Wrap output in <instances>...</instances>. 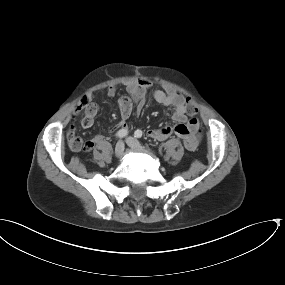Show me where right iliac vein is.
<instances>
[{
  "label": "right iliac vein",
  "instance_id": "obj_1",
  "mask_svg": "<svg viewBox=\"0 0 285 285\" xmlns=\"http://www.w3.org/2000/svg\"><path fill=\"white\" fill-rule=\"evenodd\" d=\"M124 151V143L122 141H119L115 146V156L117 158H121Z\"/></svg>",
  "mask_w": 285,
  "mask_h": 285
}]
</instances>
